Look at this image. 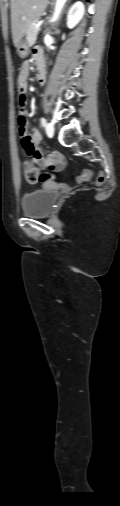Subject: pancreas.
<instances>
[{
  "mask_svg": "<svg viewBox=\"0 0 120 506\" xmlns=\"http://www.w3.org/2000/svg\"><path fill=\"white\" fill-rule=\"evenodd\" d=\"M38 31L39 30L35 29L34 24L31 23L29 25L27 32H26V39H27L29 46H32L35 43Z\"/></svg>",
  "mask_w": 120,
  "mask_h": 506,
  "instance_id": "1",
  "label": "pancreas"
}]
</instances>
